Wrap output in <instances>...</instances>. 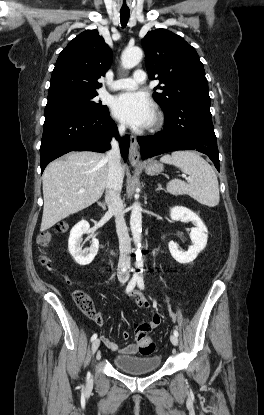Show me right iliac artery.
Masks as SVG:
<instances>
[{"instance_id": "82829eb1", "label": "right iliac artery", "mask_w": 264, "mask_h": 415, "mask_svg": "<svg viewBox=\"0 0 264 415\" xmlns=\"http://www.w3.org/2000/svg\"><path fill=\"white\" fill-rule=\"evenodd\" d=\"M136 283H137V276L133 275L132 279L130 280V282L127 285L126 293L131 292L134 289V287L136 286ZM96 338H97V334L94 333L91 337V341H94Z\"/></svg>"}]
</instances>
